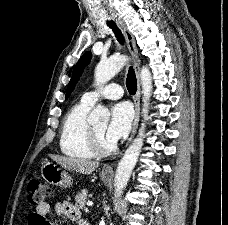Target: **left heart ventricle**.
Listing matches in <instances>:
<instances>
[{
	"mask_svg": "<svg viewBox=\"0 0 228 225\" xmlns=\"http://www.w3.org/2000/svg\"><path fill=\"white\" fill-rule=\"evenodd\" d=\"M93 126L97 130V132L100 133L104 137V139L109 140L105 134L106 124H97V125H93Z\"/></svg>",
	"mask_w": 228,
	"mask_h": 225,
	"instance_id": "left-heart-ventricle-1",
	"label": "left heart ventricle"
}]
</instances>
